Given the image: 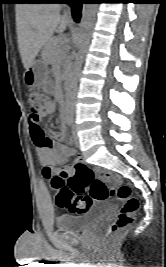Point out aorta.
Listing matches in <instances>:
<instances>
[{
	"mask_svg": "<svg viewBox=\"0 0 166 267\" xmlns=\"http://www.w3.org/2000/svg\"><path fill=\"white\" fill-rule=\"evenodd\" d=\"M97 3H84L82 7L81 21L79 25V50L76 53L73 70L68 80L66 93V104L69 109H73L77 90L78 77L83 63V54L90 41L91 32L95 23Z\"/></svg>",
	"mask_w": 166,
	"mask_h": 267,
	"instance_id": "obj_1",
	"label": "aorta"
}]
</instances>
